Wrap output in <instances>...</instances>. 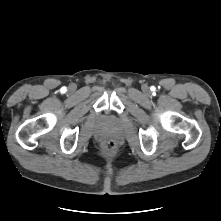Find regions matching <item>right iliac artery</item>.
<instances>
[{"label":"right iliac artery","mask_w":221,"mask_h":221,"mask_svg":"<svg viewBox=\"0 0 221 221\" xmlns=\"http://www.w3.org/2000/svg\"><path fill=\"white\" fill-rule=\"evenodd\" d=\"M63 91H64V92L66 91V88H65V87L63 88Z\"/></svg>","instance_id":"1"}]
</instances>
